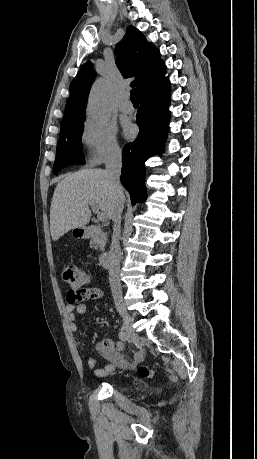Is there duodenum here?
Instances as JSON below:
<instances>
[{"label": "duodenum", "mask_w": 257, "mask_h": 459, "mask_svg": "<svg viewBox=\"0 0 257 459\" xmlns=\"http://www.w3.org/2000/svg\"><path fill=\"white\" fill-rule=\"evenodd\" d=\"M78 235L82 238H90V237L103 238L102 230L96 225H89V226H86L85 228L79 229ZM98 261L101 267H106L109 263V254L106 251H104L99 256Z\"/></svg>", "instance_id": "obj_1"}]
</instances>
